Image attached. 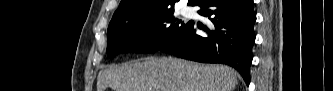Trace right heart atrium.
<instances>
[{"label": "right heart atrium", "instance_id": "right-heart-atrium-1", "mask_svg": "<svg viewBox=\"0 0 333 91\" xmlns=\"http://www.w3.org/2000/svg\"><path fill=\"white\" fill-rule=\"evenodd\" d=\"M142 38L145 40H151L155 36V30L153 28H144L141 32Z\"/></svg>", "mask_w": 333, "mask_h": 91}]
</instances>
